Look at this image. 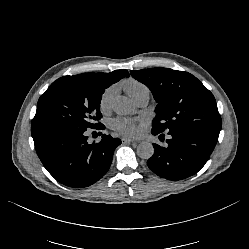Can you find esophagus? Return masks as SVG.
<instances>
[{
	"label": "esophagus",
	"mask_w": 249,
	"mask_h": 249,
	"mask_svg": "<svg viewBox=\"0 0 249 249\" xmlns=\"http://www.w3.org/2000/svg\"><path fill=\"white\" fill-rule=\"evenodd\" d=\"M133 140L131 138H128V137H124L122 138V142L123 143H131Z\"/></svg>",
	"instance_id": "1"
}]
</instances>
